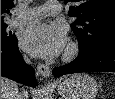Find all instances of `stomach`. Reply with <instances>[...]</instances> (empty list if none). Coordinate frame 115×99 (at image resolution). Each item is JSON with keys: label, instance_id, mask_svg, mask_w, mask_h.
<instances>
[{"label": "stomach", "instance_id": "1", "mask_svg": "<svg viewBox=\"0 0 115 99\" xmlns=\"http://www.w3.org/2000/svg\"><path fill=\"white\" fill-rule=\"evenodd\" d=\"M64 99H94L98 92L97 82L88 74H74L57 86Z\"/></svg>", "mask_w": 115, "mask_h": 99}]
</instances>
